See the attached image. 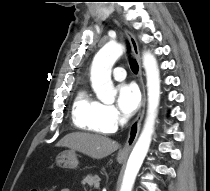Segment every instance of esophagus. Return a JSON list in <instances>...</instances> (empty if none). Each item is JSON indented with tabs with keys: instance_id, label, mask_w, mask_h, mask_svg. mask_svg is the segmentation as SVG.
Wrapping results in <instances>:
<instances>
[{
	"instance_id": "1",
	"label": "esophagus",
	"mask_w": 210,
	"mask_h": 191,
	"mask_svg": "<svg viewBox=\"0 0 210 191\" xmlns=\"http://www.w3.org/2000/svg\"><path fill=\"white\" fill-rule=\"evenodd\" d=\"M125 34L129 39L133 53L137 59L138 65H139V84H140V88L142 91V101H141V109H140L136 119L130 126L127 141H126L124 147L119 151V153H118L119 156H126L131 151V149L138 137L139 131H140V126H141V122H142V119L144 116L145 105H146V91H145V86H144L143 77H142L143 72H142V63H141L139 46H138L135 36L130 31L125 30Z\"/></svg>"
}]
</instances>
